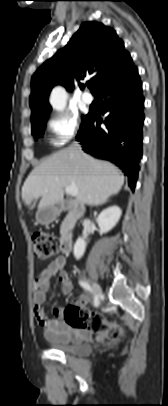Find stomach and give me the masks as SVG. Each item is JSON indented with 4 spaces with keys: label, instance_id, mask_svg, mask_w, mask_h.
<instances>
[{
    "label": "stomach",
    "instance_id": "1",
    "mask_svg": "<svg viewBox=\"0 0 168 406\" xmlns=\"http://www.w3.org/2000/svg\"><path fill=\"white\" fill-rule=\"evenodd\" d=\"M57 214V209L54 207L42 208L36 213V220L41 224H49L56 218Z\"/></svg>",
    "mask_w": 168,
    "mask_h": 406
}]
</instances>
